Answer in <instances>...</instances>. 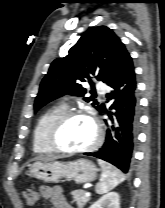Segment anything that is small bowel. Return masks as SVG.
I'll return each instance as SVG.
<instances>
[{"mask_svg": "<svg viewBox=\"0 0 165 208\" xmlns=\"http://www.w3.org/2000/svg\"><path fill=\"white\" fill-rule=\"evenodd\" d=\"M40 193L43 198L51 200L55 208H73L64 196L60 186H41Z\"/></svg>", "mask_w": 165, "mask_h": 208, "instance_id": "1", "label": "small bowel"}]
</instances>
